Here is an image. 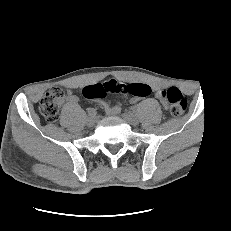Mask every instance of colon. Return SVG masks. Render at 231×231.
Listing matches in <instances>:
<instances>
[{
    "label": "colon",
    "mask_w": 231,
    "mask_h": 231,
    "mask_svg": "<svg viewBox=\"0 0 231 231\" xmlns=\"http://www.w3.org/2000/svg\"><path fill=\"white\" fill-rule=\"evenodd\" d=\"M151 88L143 83H121L109 80L102 83L88 85L83 89V95L88 99H101L107 94H130L136 97H146ZM65 97V90L60 86H52L43 96L39 104L42 116L49 122L58 118L60 105ZM165 105L173 116L181 115L186 107L187 101L183 93L177 87H169L162 92Z\"/></svg>",
    "instance_id": "obj_1"
}]
</instances>
